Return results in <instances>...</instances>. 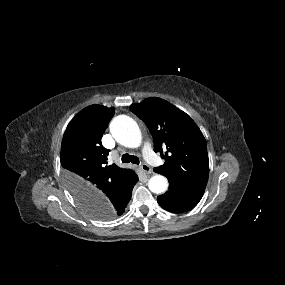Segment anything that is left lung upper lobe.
<instances>
[{"label": "left lung upper lobe", "mask_w": 285, "mask_h": 285, "mask_svg": "<svg viewBox=\"0 0 285 285\" xmlns=\"http://www.w3.org/2000/svg\"><path fill=\"white\" fill-rule=\"evenodd\" d=\"M149 128L155 152L165 159L154 171L185 183L206 187L209 159L206 141L192 119L168 102L148 98L130 106Z\"/></svg>", "instance_id": "left-lung-upper-lobe-1"}]
</instances>
